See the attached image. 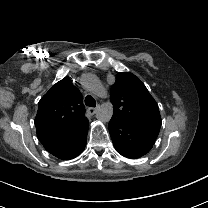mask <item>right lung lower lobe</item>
<instances>
[{
  "instance_id": "right-lung-lower-lobe-1",
  "label": "right lung lower lobe",
  "mask_w": 208,
  "mask_h": 208,
  "mask_svg": "<svg viewBox=\"0 0 208 208\" xmlns=\"http://www.w3.org/2000/svg\"><path fill=\"white\" fill-rule=\"evenodd\" d=\"M89 128L88 120L66 133L39 138L45 149L59 159L70 160L83 152Z\"/></svg>"
}]
</instances>
